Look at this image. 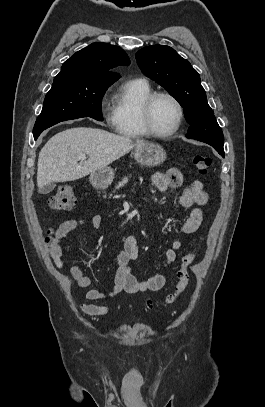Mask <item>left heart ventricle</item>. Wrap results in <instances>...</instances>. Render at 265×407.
Instances as JSON below:
<instances>
[{"mask_svg": "<svg viewBox=\"0 0 265 407\" xmlns=\"http://www.w3.org/2000/svg\"><path fill=\"white\" fill-rule=\"evenodd\" d=\"M178 119V109L175 103L167 97H159L152 108V122L154 127L162 132L174 127Z\"/></svg>", "mask_w": 265, "mask_h": 407, "instance_id": "1", "label": "left heart ventricle"}]
</instances>
